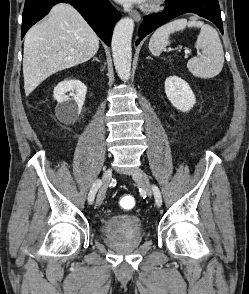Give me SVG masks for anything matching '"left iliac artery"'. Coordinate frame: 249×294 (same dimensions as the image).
<instances>
[{
	"label": "left iliac artery",
	"mask_w": 249,
	"mask_h": 294,
	"mask_svg": "<svg viewBox=\"0 0 249 294\" xmlns=\"http://www.w3.org/2000/svg\"><path fill=\"white\" fill-rule=\"evenodd\" d=\"M153 192H154L156 204L158 207H160L162 203L160 190L158 189V187L153 186Z\"/></svg>",
	"instance_id": "obj_1"
}]
</instances>
